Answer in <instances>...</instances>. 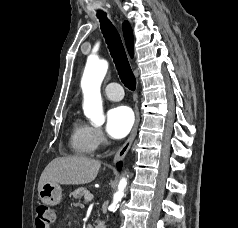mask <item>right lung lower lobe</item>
Listing matches in <instances>:
<instances>
[{
	"label": "right lung lower lobe",
	"mask_w": 238,
	"mask_h": 228,
	"mask_svg": "<svg viewBox=\"0 0 238 228\" xmlns=\"http://www.w3.org/2000/svg\"><path fill=\"white\" fill-rule=\"evenodd\" d=\"M121 167H122V163L120 162V163L117 164V168L120 170Z\"/></svg>",
	"instance_id": "1"
}]
</instances>
